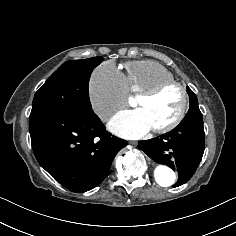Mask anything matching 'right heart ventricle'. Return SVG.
I'll return each mask as SVG.
<instances>
[{
    "label": "right heart ventricle",
    "instance_id": "obj_1",
    "mask_svg": "<svg viewBox=\"0 0 236 236\" xmlns=\"http://www.w3.org/2000/svg\"><path fill=\"white\" fill-rule=\"evenodd\" d=\"M124 70L127 88L136 94H141L161 82L175 80L174 74L156 61H129L124 64Z\"/></svg>",
    "mask_w": 236,
    "mask_h": 236
}]
</instances>
